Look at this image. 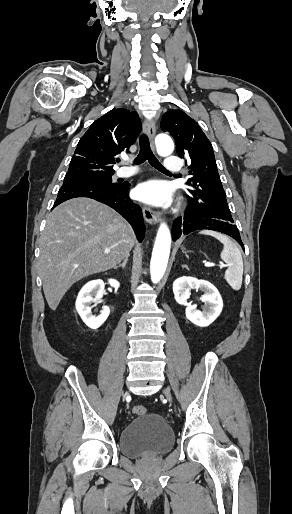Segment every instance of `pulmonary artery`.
I'll list each match as a JSON object with an SVG mask.
<instances>
[{
  "mask_svg": "<svg viewBox=\"0 0 292 514\" xmlns=\"http://www.w3.org/2000/svg\"><path fill=\"white\" fill-rule=\"evenodd\" d=\"M183 168H184V165L181 161H179L177 156H168L167 157L165 169L168 172H181L183 170ZM117 175L119 177H128V176L132 175V173L121 168L117 171Z\"/></svg>",
  "mask_w": 292,
  "mask_h": 514,
  "instance_id": "1",
  "label": "pulmonary artery"
}]
</instances>
